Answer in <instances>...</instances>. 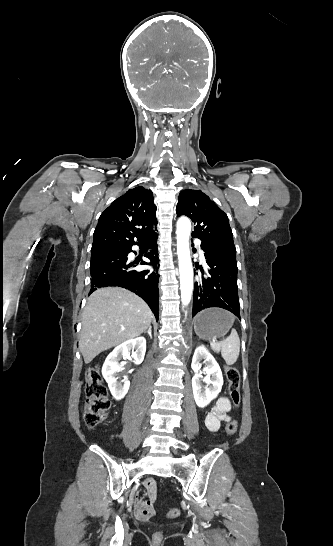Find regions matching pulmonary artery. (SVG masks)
Segmentation results:
<instances>
[{
	"label": "pulmonary artery",
	"mask_w": 333,
	"mask_h": 546,
	"mask_svg": "<svg viewBox=\"0 0 333 546\" xmlns=\"http://www.w3.org/2000/svg\"><path fill=\"white\" fill-rule=\"evenodd\" d=\"M199 253H200L201 258L204 260V254H203V251L201 249H199Z\"/></svg>",
	"instance_id": "obj_1"
}]
</instances>
